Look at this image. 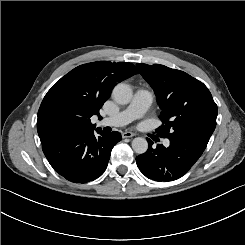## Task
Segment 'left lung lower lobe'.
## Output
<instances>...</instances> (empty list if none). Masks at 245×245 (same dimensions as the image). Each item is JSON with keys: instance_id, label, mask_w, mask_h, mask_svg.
I'll return each mask as SVG.
<instances>
[{"instance_id": "0a47b994", "label": "left lung lower lobe", "mask_w": 245, "mask_h": 245, "mask_svg": "<svg viewBox=\"0 0 245 245\" xmlns=\"http://www.w3.org/2000/svg\"><path fill=\"white\" fill-rule=\"evenodd\" d=\"M148 150L136 157L137 166L143 175L155 181H174L184 176L205 150L181 140H171L169 147L159 144L153 148L148 139Z\"/></svg>"}]
</instances>
